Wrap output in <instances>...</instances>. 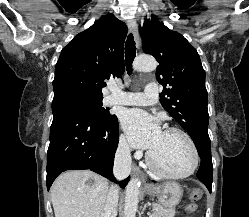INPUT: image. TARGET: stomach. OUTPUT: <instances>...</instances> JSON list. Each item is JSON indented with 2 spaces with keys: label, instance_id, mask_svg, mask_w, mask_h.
Masks as SVG:
<instances>
[{
  "label": "stomach",
  "instance_id": "1",
  "mask_svg": "<svg viewBox=\"0 0 249 217\" xmlns=\"http://www.w3.org/2000/svg\"><path fill=\"white\" fill-rule=\"evenodd\" d=\"M146 192L158 198L159 204L166 208H173L181 201L183 190L175 181H169L160 185L145 186Z\"/></svg>",
  "mask_w": 249,
  "mask_h": 217
}]
</instances>
